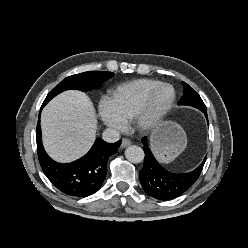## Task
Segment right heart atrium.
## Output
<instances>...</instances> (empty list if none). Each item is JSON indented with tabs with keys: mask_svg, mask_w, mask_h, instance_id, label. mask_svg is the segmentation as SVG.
I'll return each instance as SVG.
<instances>
[{
	"mask_svg": "<svg viewBox=\"0 0 248 248\" xmlns=\"http://www.w3.org/2000/svg\"><path fill=\"white\" fill-rule=\"evenodd\" d=\"M98 114L101 121L109 128L115 131H122L125 128V122L116 112L110 97L104 96L98 104Z\"/></svg>",
	"mask_w": 248,
	"mask_h": 248,
	"instance_id": "d8ad5b80",
	"label": "right heart atrium"
}]
</instances>
